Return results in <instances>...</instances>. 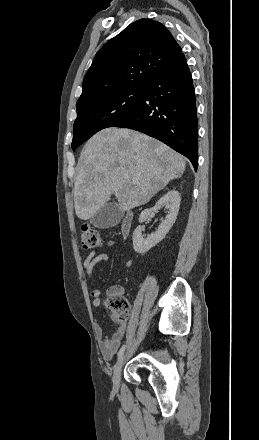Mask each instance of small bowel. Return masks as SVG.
Returning <instances> with one entry per match:
<instances>
[{
  "mask_svg": "<svg viewBox=\"0 0 259 440\" xmlns=\"http://www.w3.org/2000/svg\"><path fill=\"white\" fill-rule=\"evenodd\" d=\"M119 245L121 246V243H119L117 240H109L106 242V246L111 247ZM108 260L107 254H96L95 252L91 251L87 253L83 260V268L85 271L86 276L89 279H92L93 277V271L97 264L106 262ZM125 265L127 267H130L132 265L131 259L125 260ZM112 288L109 289V291ZM119 292H121V289L118 288ZM91 297L93 299L92 304L94 308H99L101 306V299H100V291L98 289H93L91 291ZM126 327L124 324L118 326V328L114 331V333L110 337H105L103 334V330L100 326L96 328V334L99 339V349L102 354V356L109 360L113 357L114 353L118 349L124 334H125Z\"/></svg>",
  "mask_w": 259,
  "mask_h": 440,
  "instance_id": "small-bowel-1",
  "label": "small bowel"
}]
</instances>
